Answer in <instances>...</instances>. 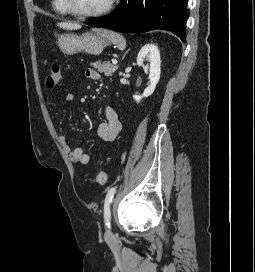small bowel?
<instances>
[{
	"label": "small bowel",
	"mask_w": 255,
	"mask_h": 272,
	"mask_svg": "<svg viewBox=\"0 0 255 272\" xmlns=\"http://www.w3.org/2000/svg\"><path fill=\"white\" fill-rule=\"evenodd\" d=\"M87 78L100 81L102 76L99 72L93 69H87L85 72ZM74 95L72 93L67 94L66 100L72 101ZM105 120L101 122L97 129L99 138L103 141H113L116 139L121 131V121L119 115L113 106L107 105L103 108ZM60 143L69 154L70 160L73 163L86 165L89 163V155L81 147H73L66 136L60 137Z\"/></svg>",
	"instance_id": "small-bowel-1"
}]
</instances>
